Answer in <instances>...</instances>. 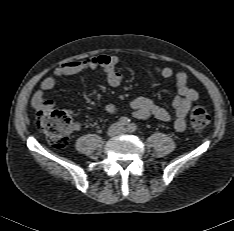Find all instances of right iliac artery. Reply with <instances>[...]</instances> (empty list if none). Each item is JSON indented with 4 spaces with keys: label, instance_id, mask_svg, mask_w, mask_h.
I'll list each match as a JSON object with an SVG mask.
<instances>
[{
    "label": "right iliac artery",
    "instance_id": "1",
    "mask_svg": "<svg viewBox=\"0 0 234 231\" xmlns=\"http://www.w3.org/2000/svg\"><path fill=\"white\" fill-rule=\"evenodd\" d=\"M129 122H130V120H129L127 117H121V118L119 119L120 125H128Z\"/></svg>",
    "mask_w": 234,
    "mask_h": 231
}]
</instances>
